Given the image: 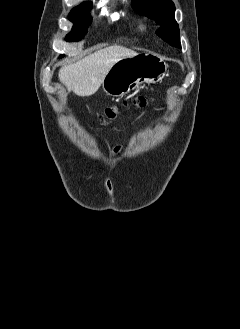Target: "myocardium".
I'll list each match as a JSON object with an SVG mask.
<instances>
[{
  "mask_svg": "<svg viewBox=\"0 0 240 329\" xmlns=\"http://www.w3.org/2000/svg\"><path fill=\"white\" fill-rule=\"evenodd\" d=\"M147 25L146 24H142V28L146 29Z\"/></svg>",
  "mask_w": 240,
  "mask_h": 329,
  "instance_id": "obj_1",
  "label": "myocardium"
}]
</instances>
